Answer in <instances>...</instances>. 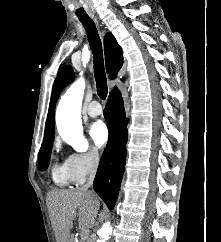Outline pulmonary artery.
Masks as SVG:
<instances>
[{
  "mask_svg": "<svg viewBox=\"0 0 221 242\" xmlns=\"http://www.w3.org/2000/svg\"><path fill=\"white\" fill-rule=\"evenodd\" d=\"M102 112V108L100 106V104L97 101H93L89 104L88 108H87V114L90 117H96L99 116Z\"/></svg>",
  "mask_w": 221,
  "mask_h": 242,
  "instance_id": "e3ab8cb5",
  "label": "pulmonary artery"
}]
</instances>
